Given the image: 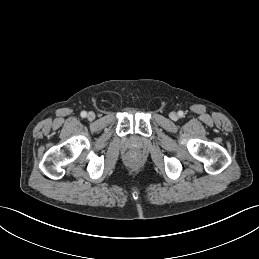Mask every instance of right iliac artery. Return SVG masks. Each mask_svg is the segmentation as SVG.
I'll return each instance as SVG.
<instances>
[{"mask_svg":"<svg viewBox=\"0 0 259 259\" xmlns=\"http://www.w3.org/2000/svg\"><path fill=\"white\" fill-rule=\"evenodd\" d=\"M80 115H81V117L85 118L87 116V112L86 111H82Z\"/></svg>","mask_w":259,"mask_h":259,"instance_id":"obj_1","label":"right iliac artery"}]
</instances>
